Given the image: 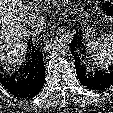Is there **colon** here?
I'll list each match as a JSON object with an SVG mask.
<instances>
[{"label":"colon","instance_id":"1","mask_svg":"<svg viewBox=\"0 0 113 113\" xmlns=\"http://www.w3.org/2000/svg\"><path fill=\"white\" fill-rule=\"evenodd\" d=\"M101 9L108 16H113V6H111L109 3L102 2L101 3Z\"/></svg>","mask_w":113,"mask_h":113}]
</instances>
